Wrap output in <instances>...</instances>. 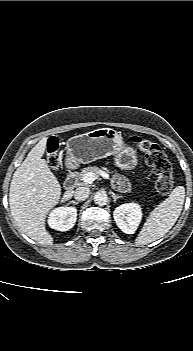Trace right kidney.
Returning a JSON list of instances; mask_svg holds the SVG:
<instances>
[{"label": "right kidney", "instance_id": "ca27d5eb", "mask_svg": "<svg viewBox=\"0 0 193 351\" xmlns=\"http://www.w3.org/2000/svg\"><path fill=\"white\" fill-rule=\"evenodd\" d=\"M76 219L77 209L63 206L51 211L48 217V224L52 229L67 231L75 225Z\"/></svg>", "mask_w": 193, "mask_h": 351}]
</instances>
